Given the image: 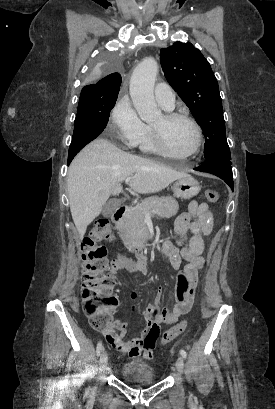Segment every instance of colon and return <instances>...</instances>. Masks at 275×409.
<instances>
[{"instance_id": "5ec220e1", "label": "colon", "mask_w": 275, "mask_h": 409, "mask_svg": "<svg viewBox=\"0 0 275 409\" xmlns=\"http://www.w3.org/2000/svg\"><path fill=\"white\" fill-rule=\"evenodd\" d=\"M204 196L208 203H215L218 200L216 190H208ZM110 238L108 222L98 220L83 238L79 249L84 261L81 285L82 310L92 330H107L108 325H113L112 313L121 305L119 298L113 294V288L118 284V280L114 276L116 270L112 265H119L121 268L129 266L125 263L124 256H112L111 263L105 258V242ZM186 327V319L171 326L162 334L161 344L167 345L172 342L185 331Z\"/></svg>"}]
</instances>
